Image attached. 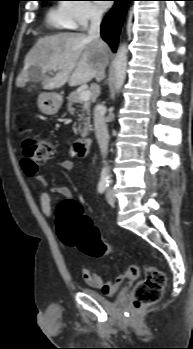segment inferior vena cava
Segmentation results:
<instances>
[{"instance_id":"1","label":"inferior vena cava","mask_w":193,"mask_h":349,"mask_svg":"<svg viewBox=\"0 0 193 349\" xmlns=\"http://www.w3.org/2000/svg\"><path fill=\"white\" fill-rule=\"evenodd\" d=\"M103 11L98 8H94L90 15V28L88 31L89 38L97 39L101 41L100 38V24ZM94 128L95 135L98 141L100 151L103 157L106 156L108 151L109 134L107 125L105 122V110L102 105L97 104L94 108Z\"/></svg>"}]
</instances>
